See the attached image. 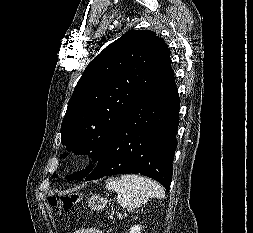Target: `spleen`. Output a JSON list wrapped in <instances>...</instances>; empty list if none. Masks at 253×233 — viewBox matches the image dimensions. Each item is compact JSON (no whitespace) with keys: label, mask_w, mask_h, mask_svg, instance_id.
Returning <instances> with one entry per match:
<instances>
[{"label":"spleen","mask_w":253,"mask_h":233,"mask_svg":"<svg viewBox=\"0 0 253 233\" xmlns=\"http://www.w3.org/2000/svg\"><path fill=\"white\" fill-rule=\"evenodd\" d=\"M107 190L117 193V202L134 211L151 198H164L165 192L157 182L139 175H123L109 180Z\"/></svg>","instance_id":"1"}]
</instances>
